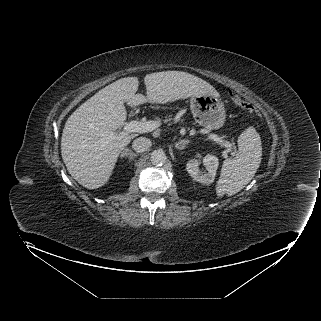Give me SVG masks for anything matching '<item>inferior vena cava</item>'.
<instances>
[{"mask_svg":"<svg viewBox=\"0 0 321 321\" xmlns=\"http://www.w3.org/2000/svg\"><path fill=\"white\" fill-rule=\"evenodd\" d=\"M152 145V142L150 139L146 137H139L136 138L133 143H132V148L137 152V153H143L147 151Z\"/></svg>","mask_w":321,"mask_h":321,"instance_id":"obj_1","label":"inferior vena cava"}]
</instances>
